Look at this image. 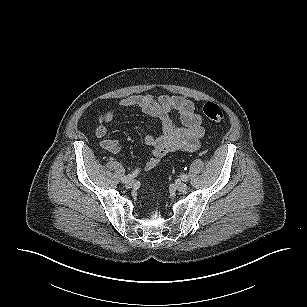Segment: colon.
<instances>
[{
    "label": "colon",
    "instance_id": "1",
    "mask_svg": "<svg viewBox=\"0 0 307 307\" xmlns=\"http://www.w3.org/2000/svg\"><path fill=\"white\" fill-rule=\"evenodd\" d=\"M203 113L213 122H220L224 118V113L220 106L210 101L204 104Z\"/></svg>",
    "mask_w": 307,
    "mask_h": 307
}]
</instances>
